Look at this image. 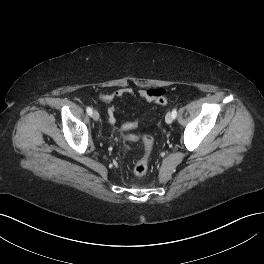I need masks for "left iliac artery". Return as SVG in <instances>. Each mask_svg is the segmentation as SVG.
<instances>
[{"mask_svg":"<svg viewBox=\"0 0 264 264\" xmlns=\"http://www.w3.org/2000/svg\"><path fill=\"white\" fill-rule=\"evenodd\" d=\"M172 117H173V119H175L177 117V110L176 109L172 110Z\"/></svg>","mask_w":264,"mask_h":264,"instance_id":"obj_1","label":"left iliac artery"}]
</instances>
